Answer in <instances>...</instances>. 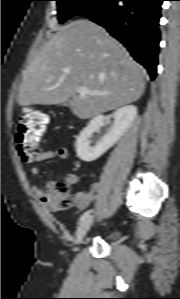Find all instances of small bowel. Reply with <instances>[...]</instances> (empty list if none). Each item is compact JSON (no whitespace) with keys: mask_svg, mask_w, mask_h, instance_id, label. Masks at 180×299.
Masks as SVG:
<instances>
[{"mask_svg":"<svg viewBox=\"0 0 180 299\" xmlns=\"http://www.w3.org/2000/svg\"><path fill=\"white\" fill-rule=\"evenodd\" d=\"M54 158H59L61 160H66L68 158V151L65 147H60L57 150H46L41 151L37 154L35 160L33 162H41L46 160H51ZM30 172L32 175H39L41 173V168L38 165H33L30 168ZM65 182L68 185H75L78 182V176L74 173H67L65 175ZM57 184V181L51 179L46 182L45 186L37 187L33 186L34 193L38 196L40 202L49 206V198L51 189ZM93 198V194L91 192L79 191L75 194V206L77 209L86 208Z\"/></svg>","mask_w":180,"mask_h":299,"instance_id":"obj_1","label":"small bowel"}]
</instances>
